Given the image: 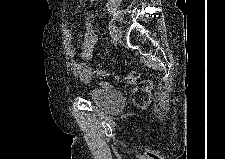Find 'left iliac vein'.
Instances as JSON below:
<instances>
[{
    "label": "left iliac vein",
    "mask_w": 225,
    "mask_h": 159,
    "mask_svg": "<svg viewBox=\"0 0 225 159\" xmlns=\"http://www.w3.org/2000/svg\"><path fill=\"white\" fill-rule=\"evenodd\" d=\"M113 37L115 40H120L122 37V30L119 27H115L113 32Z\"/></svg>",
    "instance_id": "1"
}]
</instances>
